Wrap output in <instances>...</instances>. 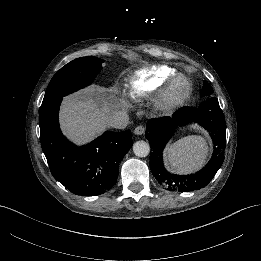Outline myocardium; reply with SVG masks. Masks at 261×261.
I'll list each match as a JSON object with an SVG mask.
<instances>
[{
    "instance_id": "f54148a6",
    "label": "myocardium",
    "mask_w": 261,
    "mask_h": 261,
    "mask_svg": "<svg viewBox=\"0 0 261 261\" xmlns=\"http://www.w3.org/2000/svg\"><path fill=\"white\" fill-rule=\"evenodd\" d=\"M191 92L192 84L189 78L183 74H176L168 81L158 106L165 112L174 111L184 104Z\"/></svg>"
}]
</instances>
